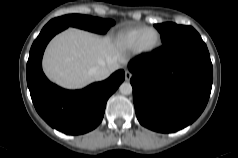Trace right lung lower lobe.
Instances as JSON below:
<instances>
[{"label":"right lung lower lobe","instance_id":"1","mask_svg":"<svg viewBox=\"0 0 238 158\" xmlns=\"http://www.w3.org/2000/svg\"><path fill=\"white\" fill-rule=\"evenodd\" d=\"M64 29V26L43 28L34 41L26 67L27 85L36 111L51 127L78 135L100 124L106 102L124 81L125 73L118 70L105 81L75 91L51 83L42 71V56L50 39Z\"/></svg>","mask_w":238,"mask_h":158}]
</instances>
